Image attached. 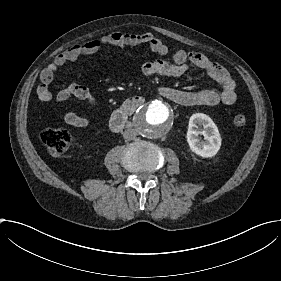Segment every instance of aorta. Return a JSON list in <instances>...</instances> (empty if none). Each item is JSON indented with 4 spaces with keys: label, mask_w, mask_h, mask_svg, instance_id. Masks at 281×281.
I'll list each match as a JSON object with an SVG mask.
<instances>
[{
    "label": "aorta",
    "mask_w": 281,
    "mask_h": 281,
    "mask_svg": "<svg viewBox=\"0 0 281 281\" xmlns=\"http://www.w3.org/2000/svg\"><path fill=\"white\" fill-rule=\"evenodd\" d=\"M136 131L142 136L155 139L170 130L172 116L170 109L161 101H153L142 105L134 115Z\"/></svg>",
    "instance_id": "obj_1"
}]
</instances>
